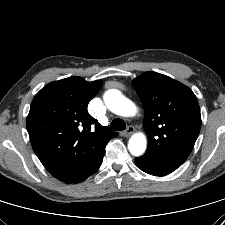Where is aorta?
Instances as JSON below:
<instances>
[{"label": "aorta", "instance_id": "aorta-1", "mask_svg": "<svg viewBox=\"0 0 225 225\" xmlns=\"http://www.w3.org/2000/svg\"><path fill=\"white\" fill-rule=\"evenodd\" d=\"M104 102L107 108L116 115L130 117L136 114V105L124 97L117 89H110L104 94ZM147 148L146 136L139 132L133 134L128 141V150L134 156H141Z\"/></svg>", "mask_w": 225, "mask_h": 225}]
</instances>
